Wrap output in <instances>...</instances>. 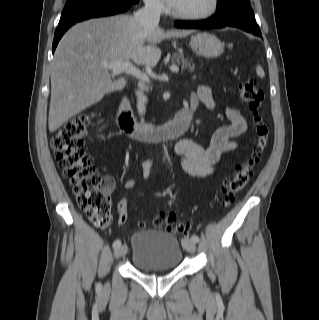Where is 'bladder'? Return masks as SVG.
I'll return each mask as SVG.
<instances>
[{
	"mask_svg": "<svg viewBox=\"0 0 319 320\" xmlns=\"http://www.w3.org/2000/svg\"><path fill=\"white\" fill-rule=\"evenodd\" d=\"M131 264L138 271H170L183 259L181 241L158 229L140 230L131 236Z\"/></svg>",
	"mask_w": 319,
	"mask_h": 320,
	"instance_id": "31cf9c89",
	"label": "bladder"
}]
</instances>
